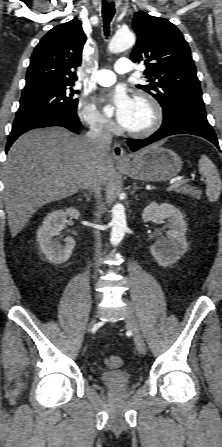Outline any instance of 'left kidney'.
Segmentation results:
<instances>
[{
	"label": "left kidney",
	"instance_id": "obj_1",
	"mask_svg": "<svg viewBox=\"0 0 222 447\" xmlns=\"http://www.w3.org/2000/svg\"><path fill=\"white\" fill-rule=\"evenodd\" d=\"M142 219L144 222L168 220L170 230L167 238L158 240L151 246L150 252L161 266L167 267L176 263L188 247L185 238L187 225L180 210L168 203L151 202L143 210Z\"/></svg>",
	"mask_w": 222,
	"mask_h": 447
}]
</instances>
